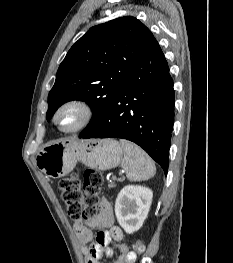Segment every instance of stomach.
I'll return each mask as SVG.
<instances>
[{
  "label": "stomach",
  "mask_w": 233,
  "mask_h": 263,
  "mask_svg": "<svg viewBox=\"0 0 233 263\" xmlns=\"http://www.w3.org/2000/svg\"><path fill=\"white\" fill-rule=\"evenodd\" d=\"M123 148L112 139L78 142L64 139L44 145L37 154L36 163L48 177L60 178L71 172L78 161L86 166L109 170L120 164Z\"/></svg>",
  "instance_id": "obj_1"
}]
</instances>
